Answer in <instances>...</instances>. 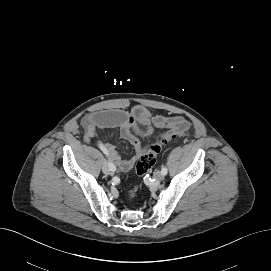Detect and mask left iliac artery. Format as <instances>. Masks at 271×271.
Returning a JSON list of instances; mask_svg holds the SVG:
<instances>
[{"label": "left iliac artery", "mask_w": 271, "mask_h": 271, "mask_svg": "<svg viewBox=\"0 0 271 271\" xmlns=\"http://www.w3.org/2000/svg\"><path fill=\"white\" fill-rule=\"evenodd\" d=\"M161 172L165 176L167 174V168L163 166Z\"/></svg>", "instance_id": "left-iliac-artery-1"}]
</instances>
